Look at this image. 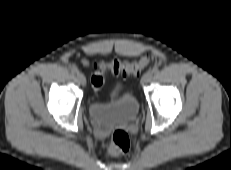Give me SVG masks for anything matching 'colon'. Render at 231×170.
Returning a JSON list of instances; mask_svg holds the SVG:
<instances>
[{
  "label": "colon",
  "mask_w": 231,
  "mask_h": 170,
  "mask_svg": "<svg viewBox=\"0 0 231 170\" xmlns=\"http://www.w3.org/2000/svg\"><path fill=\"white\" fill-rule=\"evenodd\" d=\"M150 58L144 56L137 61H123L118 58L109 62H98L94 65V71L91 77V84L95 91H98L104 83V74L111 71L118 76L138 75L149 64ZM115 96V93H113ZM130 147L129 135L122 129L116 130L108 145L107 151L111 155H119L128 151Z\"/></svg>",
  "instance_id": "5ec220e1"
}]
</instances>
